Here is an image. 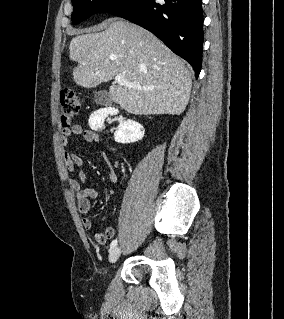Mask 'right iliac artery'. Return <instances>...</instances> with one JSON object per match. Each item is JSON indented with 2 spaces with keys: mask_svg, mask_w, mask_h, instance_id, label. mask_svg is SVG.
<instances>
[{
  "mask_svg": "<svg viewBox=\"0 0 284 319\" xmlns=\"http://www.w3.org/2000/svg\"><path fill=\"white\" fill-rule=\"evenodd\" d=\"M116 245H117V240L115 239L111 242L110 249H113L114 247H116Z\"/></svg>",
  "mask_w": 284,
  "mask_h": 319,
  "instance_id": "1",
  "label": "right iliac artery"
}]
</instances>
